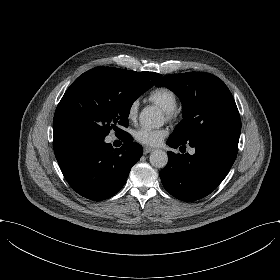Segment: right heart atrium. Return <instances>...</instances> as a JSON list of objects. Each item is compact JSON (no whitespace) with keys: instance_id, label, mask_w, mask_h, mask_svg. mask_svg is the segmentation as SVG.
Listing matches in <instances>:
<instances>
[{"instance_id":"obj_1","label":"right heart atrium","mask_w":280,"mask_h":280,"mask_svg":"<svg viewBox=\"0 0 280 280\" xmlns=\"http://www.w3.org/2000/svg\"><path fill=\"white\" fill-rule=\"evenodd\" d=\"M138 111V103L136 101H132L126 110V117L129 121H134L137 117Z\"/></svg>"}]
</instances>
